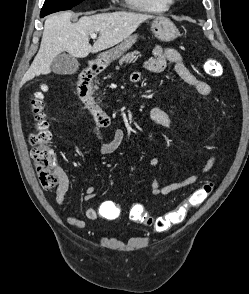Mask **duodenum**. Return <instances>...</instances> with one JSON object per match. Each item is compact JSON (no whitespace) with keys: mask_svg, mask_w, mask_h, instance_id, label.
I'll return each mask as SVG.
<instances>
[{"mask_svg":"<svg viewBox=\"0 0 249 294\" xmlns=\"http://www.w3.org/2000/svg\"><path fill=\"white\" fill-rule=\"evenodd\" d=\"M101 71L102 65L99 63H93L84 69L79 77L78 91L81 100L93 118L96 120L105 121L108 123V125H110L111 118L104 112L94 95L93 79Z\"/></svg>","mask_w":249,"mask_h":294,"instance_id":"duodenum-1","label":"duodenum"}]
</instances>
